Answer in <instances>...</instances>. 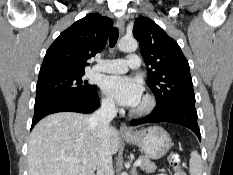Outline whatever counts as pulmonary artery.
<instances>
[{
	"label": "pulmonary artery",
	"mask_w": 233,
	"mask_h": 175,
	"mask_svg": "<svg viewBox=\"0 0 233 175\" xmlns=\"http://www.w3.org/2000/svg\"><path fill=\"white\" fill-rule=\"evenodd\" d=\"M138 54H130L127 59H104L94 67V70L105 73H124L128 69L140 67Z\"/></svg>",
	"instance_id": "pulmonary-artery-1"
}]
</instances>
